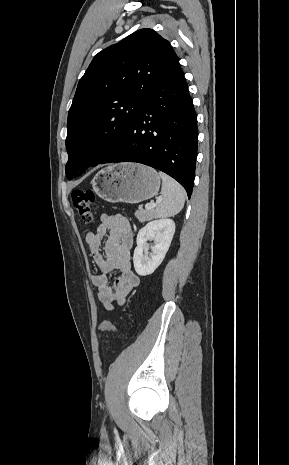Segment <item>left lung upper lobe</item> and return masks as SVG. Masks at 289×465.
Returning a JSON list of instances; mask_svg holds the SVG:
<instances>
[{
	"instance_id": "5c2ea615",
	"label": "left lung upper lobe",
	"mask_w": 289,
	"mask_h": 465,
	"mask_svg": "<svg viewBox=\"0 0 289 465\" xmlns=\"http://www.w3.org/2000/svg\"><path fill=\"white\" fill-rule=\"evenodd\" d=\"M179 67L169 41L152 29L138 30L95 55L68 113L66 176L97 165L112 151L144 97Z\"/></svg>"
}]
</instances>
